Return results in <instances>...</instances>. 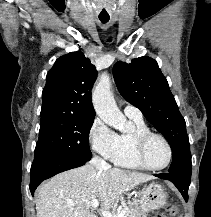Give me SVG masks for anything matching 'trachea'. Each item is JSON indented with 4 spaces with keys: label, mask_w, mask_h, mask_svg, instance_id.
Masks as SVG:
<instances>
[{
    "label": "trachea",
    "mask_w": 211,
    "mask_h": 217,
    "mask_svg": "<svg viewBox=\"0 0 211 217\" xmlns=\"http://www.w3.org/2000/svg\"><path fill=\"white\" fill-rule=\"evenodd\" d=\"M99 19L102 23H107L109 21V17H106V18L101 17Z\"/></svg>",
    "instance_id": "3493384b"
}]
</instances>
